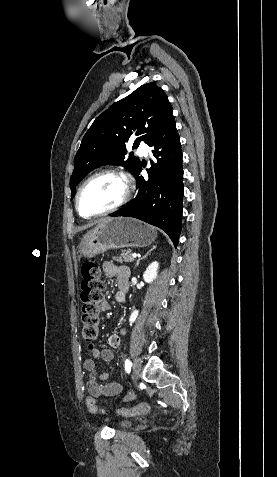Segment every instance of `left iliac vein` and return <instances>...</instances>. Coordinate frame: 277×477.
Here are the masks:
<instances>
[{
  "label": "left iliac vein",
  "mask_w": 277,
  "mask_h": 477,
  "mask_svg": "<svg viewBox=\"0 0 277 477\" xmlns=\"http://www.w3.org/2000/svg\"><path fill=\"white\" fill-rule=\"evenodd\" d=\"M133 371H134V379L137 380L140 376V371H141V359L140 358H136L134 360Z\"/></svg>",
  "instance_id": "left-iliac-vein-1"
}]
</instances>
